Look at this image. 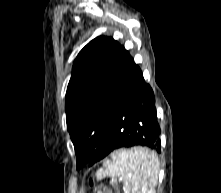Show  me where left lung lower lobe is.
I'll list each match as a JSON object with an SVG mask.
<instances>
[{"label":"left lung lower lobe","instance_id":"0a47b994","mask_svg":"<svg viewBox=\"0 0 221 193\" xmlns=\"http://www.w3.org/2000/svg\"><path fill=\"white\" fill-rule=\"evenodd\" d=\"M111 124L90 158L89 166L124 147L146 146L161 152L154 94L134 61L120 85Z\"/></svg>","mask_w":221,"mask_h":193}]
</instances>
